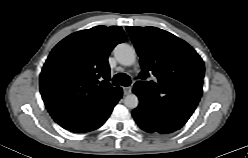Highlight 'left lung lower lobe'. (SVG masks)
I'll return each mask as SVG.
<instances>
[{
  "mask_svg": "<svg viewBox=\"0 0 248 158\" xmlns=\"http://www.w3.org/2000/svg\"><path fill=\"white\" fill-rule=\"evenodd\" d=\"M132 115L138 126L149 133L158 132L166 134L180 129V127L173 125L148 107L141 104L133 110Z\"/></svg>",
  "mask_w": 248,
  "mask_h": 158,
  "instance_id": "0a47b994",
  "label": "left lung lower lobe"
}]
</instances>
